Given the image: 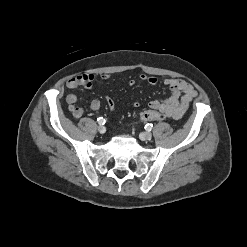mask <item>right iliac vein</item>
<instances>
[{"label":"right iliac vein","instance_id":"right-iliac-vein-1","mask_svg":"<svg viewBox=\"0 0 247 247\" xmlns=\"http://www.w3.org/2000/svg\"><path fill=\"white\" fill-rule=\"evenodd\" d=\"M98 131H99V133L103 134V133L106 132V129H105L104 126H101V125H100V126L98 127Z\"/></svg>","mask_w":247,"mask_h":247}]
</instances>
